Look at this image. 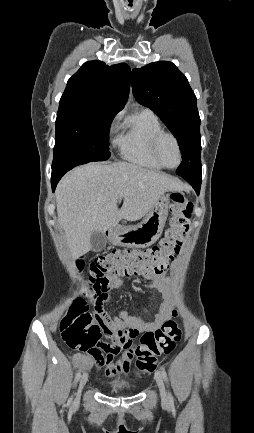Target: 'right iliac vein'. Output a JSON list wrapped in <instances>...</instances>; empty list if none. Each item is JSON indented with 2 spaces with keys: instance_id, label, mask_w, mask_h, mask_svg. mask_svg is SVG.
I'll return each mask as SVG.
<instances>
[{
  "instance_id": "63e3f726",
  "label": "right iliac vein",
  "mask_w": 254,
  "mask_h": 433,
  "mask_svg": "<svg viewBox=\"0 0 254 433\" xmlns=\"http://www.w3.org/2000/svg\"><path fill=\"white\" fill-rule=\"evenodd\" d=\"M87 380H88V375H87V374H84V375L80 378L79 385H78V391H77V393H76V398H75V402H76V403H78L79 400H80V395H81L82 389L84 388V386H85Z\"/></svg>"
}]
</instances>
